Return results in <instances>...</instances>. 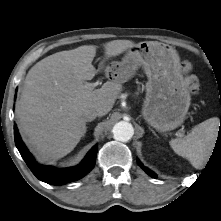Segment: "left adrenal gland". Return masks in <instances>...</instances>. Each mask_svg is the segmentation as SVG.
<instances>
[{
	"label": "left adrenal gland",
	"mask_w": 221,
	"mask_h": 221,
	"mask_svg": "<svg viewBox=\"0 0 221 221\" xmlns=\"http://www.w3.org/2000/svg\"><path fill=\"white\" fill-rule=\"evenodd\" d=\"M152 131V133L157 136V134L155 133V131L153 129H150ZM158 137V136H157Z\"/></svg>",
	"instance_id": "obj_1"
}]
</instances>
